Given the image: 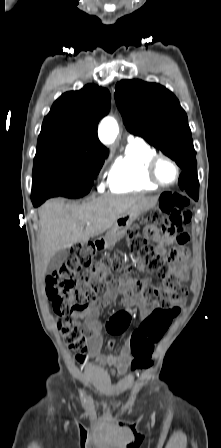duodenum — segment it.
<instances>
[{"mask_svg":"<svg viewBox=\"0 0 221 448\" xmlns=\"http://www.w3.org/2000/svg\"><path fill=\"white\" fill-rule=\"evenodd\" d=\"M97 247H98V248H100V247H101V245H100V244H98V245H97Z\"/></svg>","mask_w":221,"mask_h":448,"instance_id":"duodenum-1","label":"duodenum"}]
</instances>
